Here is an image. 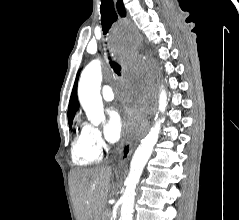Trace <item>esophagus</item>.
I'll return each mask as SVG.
<instances>
[{"label":"esophagus","mask_w":239,"mask_h":220,"mask_svg":"<svg viewBox=\"0 0 239 220\" xmlns=\"http://www.w3.org/2000/svg\"><path fill=\"white\" fill-rule=\"evenodd\" d=\"M115 5L117 7L118 13L121 17H125L127 15V10H125L123 1L122 0H114ZM149 127L148 119L145 121L144 132H146L147 128ZM135 141L133 139H127L125 144L123 145L122 151L119 156L118 166H123L130 158L133 149H134Z\"/></svg>","instance_id":"34e87169"}]
</instances>
